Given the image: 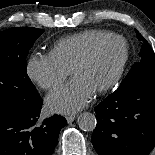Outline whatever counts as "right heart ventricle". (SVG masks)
I'll return each instance as SVG.
<instances>
[{
  "instance_id": "right-heart-ventricle-1",
  "label": "right heart ventricle",
  "mask_w": 155,
  "mask_h": 155,
  "mask_svg": "<svg viewBox=\"0 0 155 155\" xmlns=\"http://www.w3.org/2000/svg\"><path fill=\"white\" fill-rule=\"evenodd\" d=\"M109 33L111 32L90 29L63 37L54 42L50 54L61 67L69 72L97 40Z\"/></svg>"
}]
</instances>
